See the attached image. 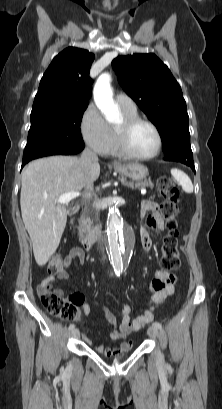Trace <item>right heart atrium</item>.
Here are the masks:
<instances>
[{
    "mask_svg": "<svg viewBox=\"0 0 222 409\" xmlns=\"http://www.w3.org/2000/svg\"><path fill=\"white\" fill-rule=\"evenodd\" d=\"M80 131L87 145L100 154H106L112 144L110 126L94 104H89L80 119Z\"/></svg>",
    "mask_w": 222,
    "mask_h": 409,
    "instance_id": "d8ad5b80",
    "label": "right heart atrium"
}]
</instances>
